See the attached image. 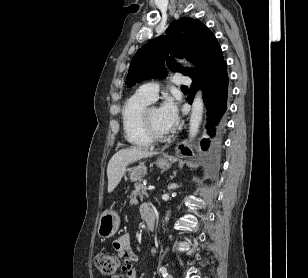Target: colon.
Returning a JSON list of instances; mask_svg holds the SVG:
<instances>
[{
	"mask_svg": "<svg viewBox=\"0 0 308 278\" xmlns=\"http://www.w3.org/2000/svg\"><path fill=\"white\" fill-rule=\"evenodd\" d=\"M95 263L98 270L108 276L114 275L119 267V259L112 253L98 254Z\"/></svg>",
	"mask_w": 308,
	"mask_h": 278,
	"instance_id": "colon-1",
	"label": "colon"
}]
</instances>
